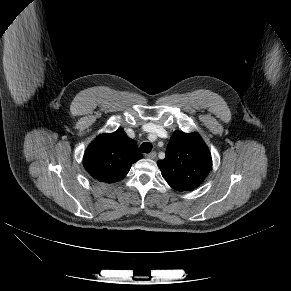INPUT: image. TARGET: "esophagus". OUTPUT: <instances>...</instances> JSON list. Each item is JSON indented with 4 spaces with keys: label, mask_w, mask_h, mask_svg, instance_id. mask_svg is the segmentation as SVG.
<instances>
[{
    "label": "esophagus",
    "mask_w": 291,
    "mask_h": 291,
    "mask_svg": "<svg viewBox=\"0 0 291 291\" xmlns=\"http://www.w3.org/2000/svg\"><path fill=\"white\" fill-rule=\"evenodd\" d=\"M156 152H151L149 154H146L145 157L148 159H155L156 158Z\"/></svg>",
    "instance_id": "esophagus-1"
}]
</instances>
